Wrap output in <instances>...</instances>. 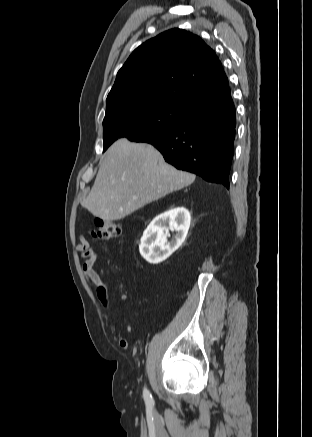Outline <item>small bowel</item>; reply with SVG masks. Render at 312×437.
Wrapping results in <instances>:
<instances>
[{"label": "small bowel", "instance_id": "c3829d8e", "mask_svg": "<svg viewBox=\"0 0 312 437\" xmlns=\"http://www.w3.org/2000/svg\"><path fill=\"white\" fill-rule=\"evenodd\" d=\"M76 249L84 259L82 272L86 280L91 286L95 287L96 295L99 298L102 307L105 309L106 317L108 319H113L110 286L102 280L99 273L94 268L99 258L98 252L89 244L83 235L79 236V243L77 244ZM109 333L111 338L121 348L128 349L130 347L129 341L119 334L117 327L114 324L110 326Z\"/></svg>", "mask_w": 312, "mask_h": 437}]
</instances>
